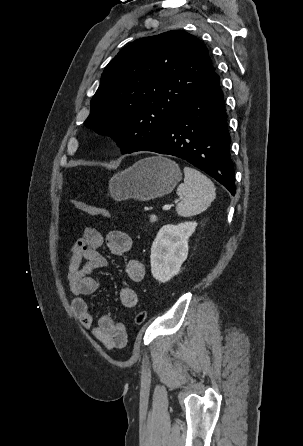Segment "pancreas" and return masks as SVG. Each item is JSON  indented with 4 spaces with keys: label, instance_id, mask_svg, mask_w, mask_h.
Wrapping results in <instances>:
<instances>
[{
    "label": "pancreas",
    "instance_id": "1",
    "mask_svg": "<svg viewBox=\"0 0 303 446\" xmlns=\"http://www.w3.org/2000/svg\"><path fill=\"white\" fill-rule=\"evenodd\" d=\"M156 220H157L156 217H151V218H150V222H151V223H154Z\"/></svg>",
    "mask_w": 303,
    "mask_h": 446
}]
</instances>
